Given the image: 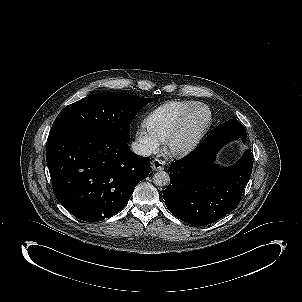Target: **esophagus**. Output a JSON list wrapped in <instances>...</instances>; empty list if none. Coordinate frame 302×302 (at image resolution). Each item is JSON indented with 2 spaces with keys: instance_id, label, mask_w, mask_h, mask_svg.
Wrapping results in <instances>:
<instances>
[{
  "instance_id": "1",
  "label": "esophagus",
  "mask_w": 302,
  "mask_h": 302,
  "mask_svg": "<svg viewBox=\"0 0 302 302\" xmlns=\"http://www.w3.org/2000/svg\"><path fill=\"white\" fill-rule=\"evenodd\" d=\"M165 166L164 161L160 160V159H153L151 162V168L155 171L157 170H163Z\"/></svg>"
}]
</instances>
